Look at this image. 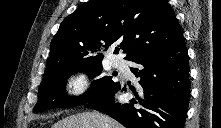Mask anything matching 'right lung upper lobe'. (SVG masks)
Here are the masks:
<instances>
[{
	"label": "right lung upper lobe",
	"mask_w": 221,
	"mask_h": 128,
	"mask_svg": "<svg viewBox=\"0 0 221 128\" xmlns=\"http://www.w3.org/2000/svg\"><path fill=\"white\" fill-rule=\"evenodd\" d=\"M182 39L166 0H89L61 23L46 68L76 60L102 61V51L113 44L131 61Z\"/></svg>",
	"instance_id": "cb5924a9"
}]
</instances>
